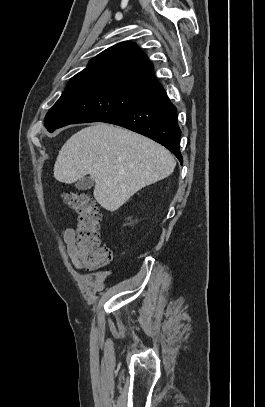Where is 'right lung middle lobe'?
<instances>
[{
	"label": "right lung middle lobe",
	"instance_id": "1",
	"mask_svg": "<svg viewBox=\"0 0 265 407\" xmlns=\"http://www.w3.org/2000/svg\"><path fill=\"white\" fill-rule=\"evenodd\" d=\"M155 87L103 75L74 76L49 110V132L75 123L104 121L140 103Z\"/></svg>",
	"mask_w": 265,
	"mask_h": 407
}]
</instances>
